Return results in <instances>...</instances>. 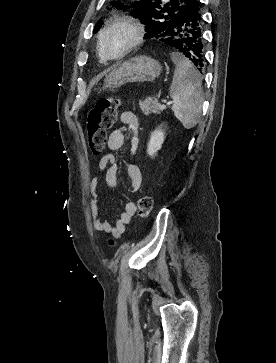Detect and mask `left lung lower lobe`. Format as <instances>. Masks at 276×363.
Returning <instances> with one entry per match:
<instances>
[{"mask_svg":"<svg viewBox=\"0 0 276 363\" xmlns=\"http://www.w3.org/2000/svg\"><path fill=\"white\" fill-rule=\"evenodd\" d=\"M201 2L190 0L183 6L167 29L156 38L174 47L202 71L204 66V39Z\"/></svg>","mask_w":276,"mask_h":363,"instance_id":"1","label":"left lung lower lobe"}]
</instances>
